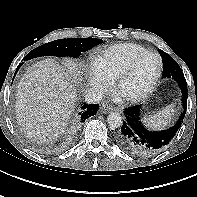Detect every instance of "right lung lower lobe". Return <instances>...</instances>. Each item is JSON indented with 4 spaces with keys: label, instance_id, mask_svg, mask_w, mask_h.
<instances>
[{
    "label": "right lung lower lobe",
    "instance_id": "right-lung-lower-lobe-1",
    "mask_svg": "<svg viewBox=\"0 0 197 197\" xmlns=\"http://www.w3.org/2000/svg\"><path fill=\"white\" fill-rule=\"evenodd\" d=\"M21 66V64L18 65V68L15 72V74L17 73L19 67ZM83 111L80 113L81 114V121H85V119L89 118L90 116H93L97 113L98 109H99V105L98 104H84L82 106Z\"/></svg>",
    "mask_w": 197,
    "mask_h": 197
}]
</instances>
